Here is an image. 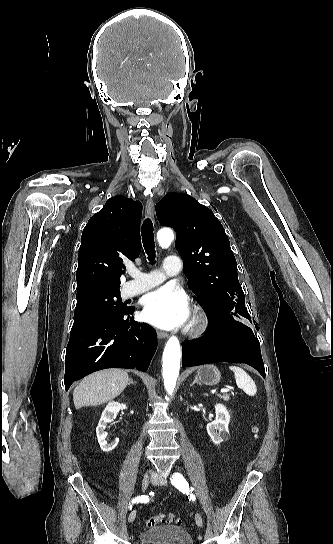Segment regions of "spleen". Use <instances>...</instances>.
I'll list each match as a JSON object with an SVG mask.
<instances>
[{"mask_svg":"<svg viewBox=\"0 0 333 544\" xmlns=\"http://www.w3.org/2000/svg\"><path fill=\"white\" fill-rule=\"evenodd\" d=\"M229 369L234 372L236 384L247 395L254 396L257 392L256 385L251 377L240 367L229 366Z\"/></svg>","mask_w":333,"mask_h":544,"instance_id":"spleen-1","label":"spleen"}]
</instances>
